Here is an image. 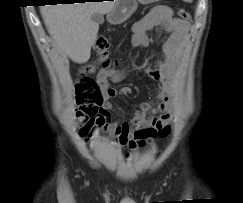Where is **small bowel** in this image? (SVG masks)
<instances>
[{
  "instance_id": "small-bowel-1",
  "label": "small bowel",
  "mask_w": 243,
  "mask_h": 203,
  "mask_svg": "<svg viewBox=\"0 0 243 203\" xmlns=\"http://www.w3.org/2000/svg\"><path fill=\"white\" fill-rule=\"evenodd\" d=\"M158 27L167 36L163 40L161 57L154 66H141L140 72L157 83V93L153 101L139 103L135 107L134 117L130 122H113L110 99L120 95L128 97L129 87L113 88L110 82H120L135 66L121 70L100 71L97 81L104 94V101L93 123L94 131H107L116 139L118 147L136 149L150 143L155 138H165L170 134L175 115L173 113V92L175 70L186 41L190 24L173 16L171 9L157 6L140 21L134 24L131 45L135 48L148 44L147 31Z\"/></svg>"
}]
</instances>
